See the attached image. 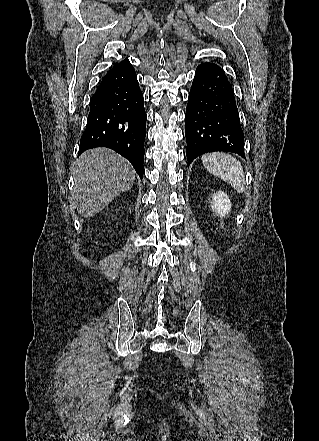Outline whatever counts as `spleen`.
<instances>
[{"instance_id":"obj_1","label":"spleen","mask_w":319,"mask_h":441,"mask_svg":"<svg viewBox=\"0 0 319 441\" xmlns=\"http://www.w3.org/2000/svg\"><path fill=\"white\" fill-rule=\"evenodd\" d=\"M204 167L212 174L230 183L240 193L245 191L241 163L226 153H209L201 157Z\"/></svg>"}]
</instances>
